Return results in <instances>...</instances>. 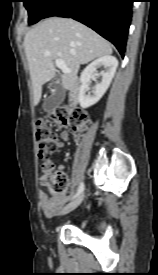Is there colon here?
<instances>
[{
	"label": "colon",
	"instance_id": "1",
	"mask_svg": "<svg viewBox=\"0 0 158 275\" xmlns=\"http://www.w3.org/2000/svg\"><path fill=\"white\" fill-rule=\"evenodd\" d=\"M36 140L41 158L51 154L56 148L57 134L50 127L54 124L57 128H67L73 133H80L90 125V119L81 109L71 110L66 106H57L45 118L37 120ZM68 179L65 173L54 170V165L47 162L45 174L41 183L49 188L53 200L63 198Z\"/></svg>",
	"mask_w": 158,
	"mask_h": 275
}]
</instances>
